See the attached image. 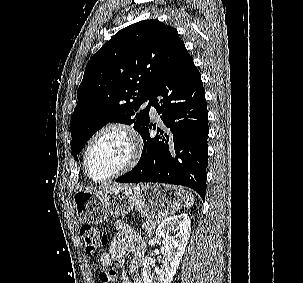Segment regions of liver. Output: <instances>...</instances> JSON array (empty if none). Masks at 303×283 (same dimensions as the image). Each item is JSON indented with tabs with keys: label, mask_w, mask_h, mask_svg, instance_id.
<instances>
[{
	"label": "liver",
	"mask_w": 303,
	"mask_h": 283,
	"mask_svg": "<svg viewBox=\"0 0 303 283\" xmlns=\"http://www.w3.org/2000/svg\"><path fill=\"white\" fill-rule=\"evenodd\" d=\"M123 186L122 184H118V183H112V184H104L99 186L98 188H90L87 191L88 192H92V193H102L107 189H111V188H115V187H120Z\"/></svg>",
	"instance_id": "6515ba94"
}]
</instances>
